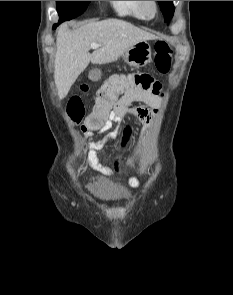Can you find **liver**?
I'll return each instance as SVG.
<instances>
[{
	"instance_id": "1",
	"label": "liver",
	"mask_w": 233,
	"mask_h": 295,
	"mask_svg": "<svg viewBox=\"0 0 233 295\" xmlns=\"http://www.w3.org/2000/svg\"><path fill=\"white\" fill-rule=\"evenodd\" d=\"M154 39L156 36L153 34L119 19L90 22L75 30H70L67 23L62 24L57 33L54 62V79L59 99L67 96L71 86L90 62H114L133 44ZM91 43L102 46L90 54Z\"/></svg>"
}]
</instances>
